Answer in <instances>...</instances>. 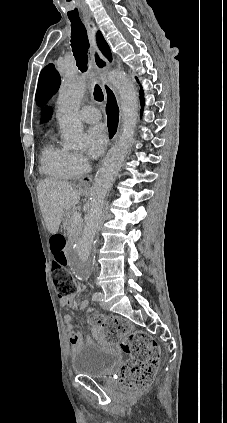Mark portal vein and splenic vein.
Returning a JSON list of instances; mask_svg holds the SVG:
<instances>
[{"mask_svg": "<svg viewBox=\"0 0 227 423\" xmlns=\"http://www.w3.org/2000/svg\"><path fill=\"white\" fill-rule=\"evenodd\" d=\"M71 219H73V221H75V223H77V221H80V219H81L80 211H74V213H72V215H71Z\"/></svg>", "mask_w": 227, "mask_h": 423, "instance_id": "obj_1", "label": "portal vein and splenic vein"}]
</instances>
